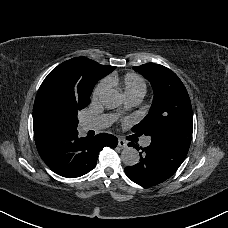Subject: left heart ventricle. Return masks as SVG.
I'll list each match as a JSON object with an SVG mask.
<instances>
[{"mask_svg":"<svg viewBox=\"0 0 228 228\" xmlns=\"http://www.w3.org/2000/svg\"><path fill=\"white\" fill-rule=\"evenodd\" d=\"M127 109V102L121 98V105L117 108L114 118H120Z\"/></svg>","mask_w":228,"mask_h":228,"instance_id":"1","label":"left heart ventricle"}]
</instances>
